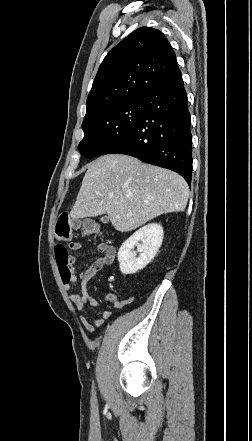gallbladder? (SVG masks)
Instances as JSON below:
<instances>
[{
  "label": "gallbladder",
  "instance_id": "obj_1",
  "mask_svg": "<svg viewBox=\"0 0 252 441\" xmlns=\"http://www.w3.org/2000/svg\"><path fill=\"white\" fill-rule=\"evenodd\" d=\"M101 221H102L103 223H107V222L109 221V217H108V216H103V217L101 218Z\"/></svg>",
  "mask_w": 252,
  "mask_h": 441
}]
</instances>
